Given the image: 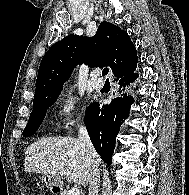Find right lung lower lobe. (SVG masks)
Segmentation results:
<instances>
[{
  "label": "right lung lower lobe",
  "mask_w": 189,
  "mask_h": 195,
  "mask_svg": "<svg viewBox=\"0 0 189 195\" xmlns=\"http://www.w3.org/2000/svg\"><path fill=\"white\" fill-rule=\"evenodd\" d=\"M134 71L135 69L131 73L116 79L121 90L124 91L138 77ZM131 104H133L132 96L122 92L113 98L108 105L100 106L98 102H94L86 109L84 123L90 139L97 153L107 164L112 163L116 136L123 120L129 116Z\"/></svg>",
  "instance_id": "1"
}]
</instances>
